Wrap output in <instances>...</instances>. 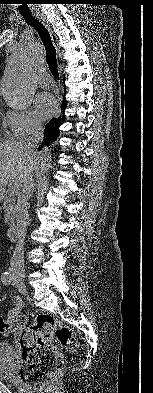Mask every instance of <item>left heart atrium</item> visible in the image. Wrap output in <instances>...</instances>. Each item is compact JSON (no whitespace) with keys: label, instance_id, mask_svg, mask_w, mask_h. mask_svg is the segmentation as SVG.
Returning a JSON list of instances; mask_svg holds the SVG:
<instances>
[{"label":"left heart atrium","instance_id":"1","mask_svg":"<svg viewBox=\"0 0 153 393\" xmlns=\"http://www.w3.org/2000/svg\"><path fill=\"white\" fill-rule=\"evenodd\" d=\"M57 107L55 97L48 92L41 93L36 99V110L43 119L49 118Z\"/></svg>","mask_w":153,"mask_h":393}]
</instances>
